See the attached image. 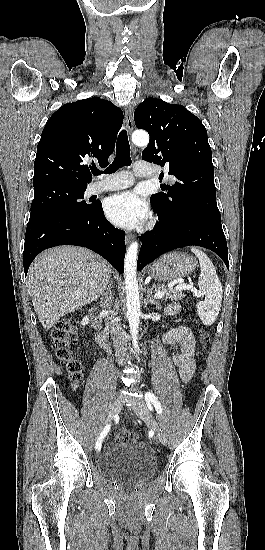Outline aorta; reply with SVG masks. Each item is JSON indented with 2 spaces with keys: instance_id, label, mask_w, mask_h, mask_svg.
<instances>
[{
  "instance_id": "762f6f07",
  "label": "aorta",
  "mask_w": 265,
  "mask_h": 550,
  "mask_svg": "<svg viewBox=\"0 0 265 550\" xmlns=\"http://www.w3.org/2000/svg\"><path fill=\"white\" fill-rule=\"evenodd\" d=\"M132 141L137 146H146L149 142V135L144 131L134 132ZM137 253L138 243L130 244L126 251L124 260V277L127 300V318L129 321L132 343L135 349H138V330L140 322V298L137 282Z\"/></svg>"
}]
</instances>
